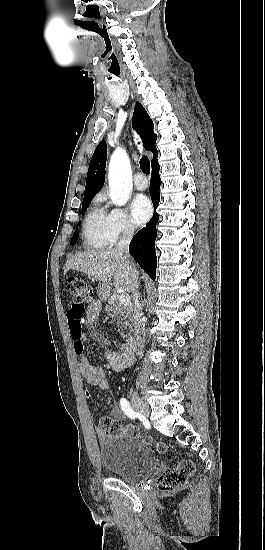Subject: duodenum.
<instances>
[{
  "label": "duodenum",
  "mask_w": 265,
  "mask_h": 550,
  "mask_svg": "<svg viewBox=\"0 0 265 550\" xmlns=\"http://www.w3.org/2000/svg\"><path fill=\"white\" fill-rule=\"evenodd\" d=\"M126 346L128 350H136L137 349V340L134 337H128L126 339Z\"/></svg>",
  "instance_id": "duodenum-1"
}]
</instances>
